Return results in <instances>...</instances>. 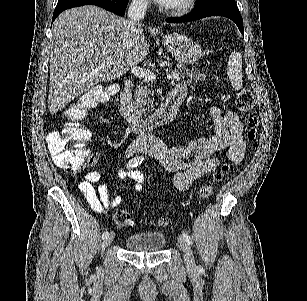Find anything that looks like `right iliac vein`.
Returning a JSON list of instances; mask_svg holds the SVG:
<instances>
[{"label":"right iliac vein","instance_id":"63e3f726","mask_svg":"<svg viewBox=\"0 0 307 301\" xmlns=\"http://www.w3.org/2000/svg\"><path fill=\"white\" fill-rule=\"evenodd\" d=\"M115 238V233L111 232L102 243V250H104L108 245L112 243Z\"/></svg>","mask_w":307,"mask_h":301}]
</instances>
